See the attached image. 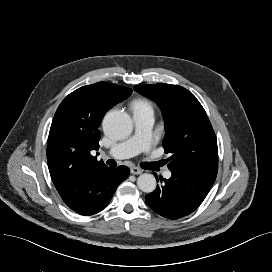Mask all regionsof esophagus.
Wrapping results in <instances>:
<instances>
[{"instance_id":"esophagus-1","label":"esophagus","mask_w":272,"mask_h":272,"mask_svg":"<svg viewBox=\"0 0 272 272\" xmlns=\"http://www.w3.org/2000/svg\"><path fill=\"white\" fill-rule=\"evenodd\" d=\"M130 172L131 174L138 175L141 174L143 170L138 167H131Z\"/></svg>"}]
</instances>
